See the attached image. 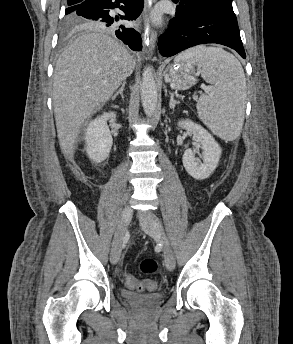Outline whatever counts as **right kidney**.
<instances>
[{
  "label": "right kidney",
  "instance_id": "1",
  "mask_svg": "<svg viewBox=\"0 0 293 344\" xmlns=\"http://www.w3.org/2000/svg\"><path fill=\"white\" fill-rule=\"evenodd\" d=\"M116 118L115 112L103 113L90 121L85 131L86 152L89 159L101 163L109 157L113 139L107 125L109 119Z\"/></svg>",
  "mask_w": 293,
  "mask_h": 344
}]
</instances>
